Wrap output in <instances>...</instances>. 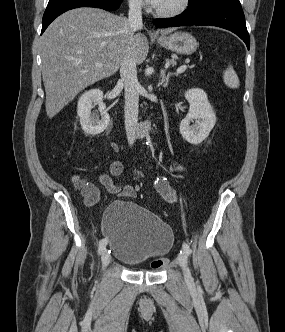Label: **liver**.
<instances>
[{
    "mask_svg": "<svg viewBox=\"0 0 285 332\" xmlns=\"http://www.w3.org/2000/svg\"><path fill=\"white\" fill-rule=\"evenodd\" d=\"M140 25L136 30H141ZM172 28L161 29L168 34ZM129 22L102 9L77 8L56 18L41 40L46 113L58 114L87 86L115 74L128 52L136 64L146 59L143 33L129 35ZM102 64L100 68L96 64Z\"/></svg>",
    "mask_w": 285,
    "mask_h": 332,
    "instance_id": "1",
    "label": "liver"
}]
</instances>
